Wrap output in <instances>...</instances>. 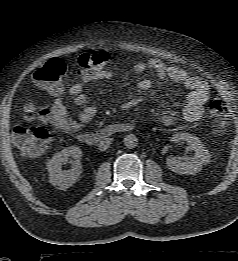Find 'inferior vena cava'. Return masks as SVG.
Returning <instances> with one entry per match:
<instances>
[{
    "mask_svg": "<svg viewBox=\"0 0 238 261\" xmlns=\"http://www.w3.org/2000/svg\"><path fill=\"white\" fill-rule=\"evenodd\" d=\"M111 142V138L102 139L98 144V149L100 151H105L110 146Z\"/></svg>",
    "mask_w": 238,
    "mask_h": 261,
    "instance_id": "602c4592",
    "label": "inferior vena cava"
}]
</instances>
